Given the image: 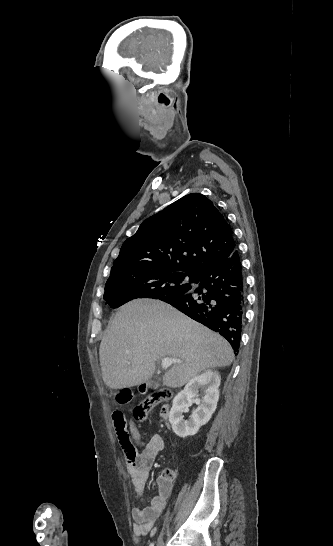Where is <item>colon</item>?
<instances>
[{"mask_svg":"<svg viewBox=\"0 0 333 546\" xmlns=\"http://www.w3.org/2000/svg\"><path fill=\"white\" fill-rule=\"evenodd\" d=\"M130 392H122L118 395L120 403H128L131 400ZM171 397V392L166 389L158 390L148 396L144 401L137 405L134 409V417L137 421H144L147 418L149 410L157 403L167 400ZM112 422L116 432L118 442L123 449L125 456L134 458L137 454V448L133 443L131 436L127 430L125 416L120 411L112 413Z\"/></svg>","mask_w":333,"mask_h":546,"instance_id":"obj_1","label":"colon"}]
</instances>
